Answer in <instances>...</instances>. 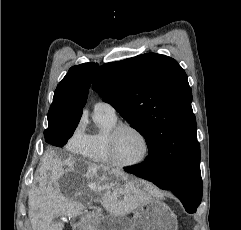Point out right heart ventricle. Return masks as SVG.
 <instances>
[{
	"label": "right heart ventricle",
	"instance_id": "right-heart-ventricle-1",
	"mask_svg": "<svg viewBox=\"0 0 241 230\" xmlns=\"http://www.w3.org/2000/svg\"><path fill=\"white\" fill-rule=\"evenodd\" d=\"M94 121L97 130L87 135L86 145L80 153L91 162L110 164L106 150V136L108 131L118 122L116 115L103 112H94Z\"/></svg>",
	"mask_w": 241,
	"mask_h": 230
}]
</instances>
